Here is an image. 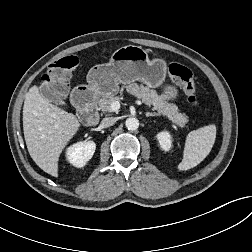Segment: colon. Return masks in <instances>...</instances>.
I'll return each mask as SVG.
<instances>
[{"mask_svg":"<svg viewBox=\"0 0 252 252\" xmlns=\"http://www.w3.org/2000/svg\"><path fill=\"white\" fill-rule=\"evenodd\" d=\"M78 60L75 56L64 57L50 65L43 77L44 83L57 95L63 97L67 94L69 73L75 69ZM169 75L183 90L188 102L198 107L201 97L197 92L193 74L186 66L172 62L168 67Z\"/></svg>","mask_w":252,"mask_h":252,"instance_id":"5ec220e1","label":"colon"}]
</instances>
